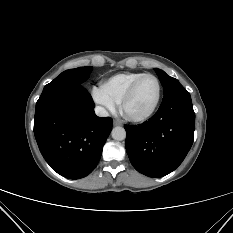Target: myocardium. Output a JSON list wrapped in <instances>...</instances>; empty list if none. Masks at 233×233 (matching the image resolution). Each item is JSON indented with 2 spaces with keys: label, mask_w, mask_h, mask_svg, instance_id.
<instances>
[{
  "label": "myocardium",
  "mask_w": 233,
  "mask_h": 233,
  "mask_svg": "<svg viewBox=\"0 0 233 233\" xmlns=\"http://www.w3.org/2000/svg\"><path fill=\"white\" fill-rule=\"evenodd\" d=\"M145 78H152L155 80L156 84H157V97L156 100L153 104V106L150 108V110H148L146 113L144 114H140V115H132L129 114L126 110V106L128 104V102L130 101V99L133 97L138 85L140 84V82L145 79ZM161 93H162V86H161V82L158 79L157 76L150 74V73H145L142 76H140L138 79H136L131 86L129 87V89L127 90L126 94L124 95L122 101H121V107L122 110L125 112L126 116L134 122H144L148 119H150L155 112L158 109V106L160 104V100H161Z\"/></svg>",
  "instance_id": "myocardium-1"
}]
</instances>
